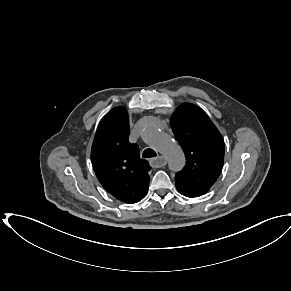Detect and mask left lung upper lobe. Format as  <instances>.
Returning <instances> with one entry per match:
<instances>
[{"label": "left lung upper lobe", "instance_id": "5c2ea615", "mask_svg": "<svg viewBox=\"0 0 291 291\" xmlns=\"http://www.w3.org/2000/svg\"><path fill=\"white\" fill-rule=\"evenodd\" d=\"M170 124L187 160L175 176L176 188L187 197L201 196L209 191L222 171L223 137L208 115L191 103L181 104Z\"/></svg>", "mask_w": 291, "mask_h": 291}]
</instances>
